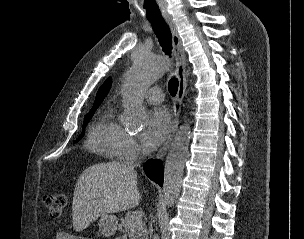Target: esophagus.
<instances>
[{"instance_id": "obj_1", "label": "esophagus", "mask_w": 304, "mask_h": 239, "mask_svg": "<svg viewBox=\"0 0 304 239\" xmlns=\"http://www.w3.org/2000/svg\"><path fill=\"white\" fill-rule=\"evenodd\" d=\"M167 25L170 28L171 34H172V43H173V51L176 59V77L178 78V92H177V99L176 104L173 109V121L172 126L169 131V134L166 138V141L164 142L163 146L160 148V150L155 155L156 159H162L169 147L171 142L173 141V138L175 136V133L179 126V113H180V107L181 103L183 101V98L185 96L186 92V79H185V69H186V56L185 52L182 47L181 39L178 34L177 28L175 23L171 18L165 19Z\"/></svg>"}]
</instances>
